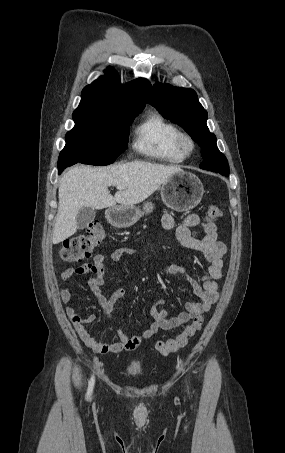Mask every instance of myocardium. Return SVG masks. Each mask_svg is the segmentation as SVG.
I'll list each match as a JSON object with an SVG mask.
<instances>
[{
  "instance_id": "f54148a6",
  "label": "myocardium",
  "mask_w": 285,
  "mask_h": 453,
  "mask_svg": "<svg viewBox=\"0 0 285 453\" xmlns=\"http://www.w3.org/2000/svg\"><path fill=\"white\" fill-rule=\"evenodd\" d=\"M176 143L179 151L185 156L191 154L195 149V141L187 132H179Z\"/></svg>"
}]
</instances>
